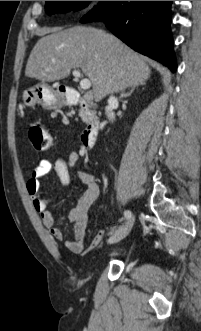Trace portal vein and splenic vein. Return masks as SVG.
I'll return each mask as SVG.
<instances>
[{
    "label": "portal vein and splenic vein",
    "instance_id": "18ae733b",
    "mask_svg": "<svg viewBox=\"0 0 201 331\" xmlns=\"http://www.w3.org/2000/svg\"><path fill=\"white\" fill-rule=\"evenodd\" d=\"M73 76H74L75 78H80V77H81V73H80L78 70H73ZM80 87H81V89H83V90H88V89H90V87H91V81H90L89 79H87V78L82 79V80L80 81Z\"/></svg>",
    "mask_w": 201,
    "mask_h": 331
}]
</instances>
